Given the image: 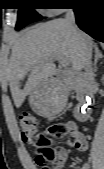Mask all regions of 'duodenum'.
<instances>
[{
    "label": "duodenum",
    "mask_w": 104,
    "mask_h": 169,
    "mask_svg": "<svg viewBox=\"0 0 104 169\" xmlns=\"http://www.w3.org/2000/svg\"><path fill=\"white\" fill-rule=\"evenodd\" d=\"M54 78L61 79L63 75L61 73H57L54 75ZM77 96L79 98V104L75 108L74 115L77 121L86 122L90 116V108L92 104V95L87 91V87L85 84H80L78 89L76 90Z\"/></svg>",
    "instance_id": "410a0bca"
}]
</instances>
